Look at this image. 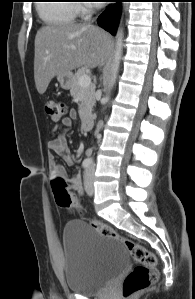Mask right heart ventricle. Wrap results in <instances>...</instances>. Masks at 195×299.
<instances>
[{"mask_svg": "<svg viewBox=\"0 0 195 299\" xmlns=\"http://www.w3.org/2000/svg\"><path fill=\"white\" fill-rule=\"evenodd\" d=\"M41 3L38 13L41 19L50 26L68 25L75 21L77 6L72 1L55 0Z\"/></svg>", "mask_w": 195, "mask_h": 299, "instance_id": "1", "label": "right heart ventricle"}]
</instances>
